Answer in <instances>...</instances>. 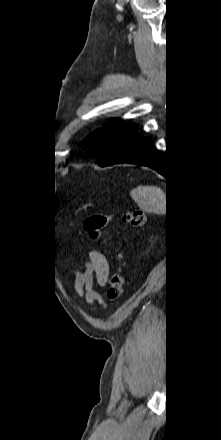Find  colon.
Here are the masks:
<instances>
[{
	"label": "colon",
	"instance_id": "1",
	"mask_svg": "<svg viewBox=\"0 0 221 440\" xmlns=\"http://www.w3.org/2000/svg\"><path fill=\"white\" fill-rule=\"evenodd\" d=\"M123 217L126 222L134 227H141L145 222V214L142 210H132L126 212ZM110 215L88 216L83 223L85 231L92 239L98 240L101 238L102 229L111 220ZM118 260L122 259V255L118 254ZM124 294V280L121 273V268L118 267L112 274L109 282L107 296L109 300L116 301Z\"/></svg>",
	"mask_w": 221,
	"mask_h": 440
}]
</instances>
